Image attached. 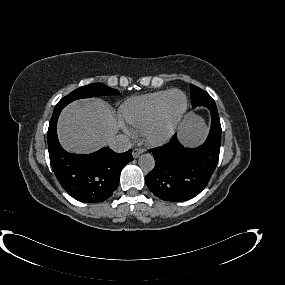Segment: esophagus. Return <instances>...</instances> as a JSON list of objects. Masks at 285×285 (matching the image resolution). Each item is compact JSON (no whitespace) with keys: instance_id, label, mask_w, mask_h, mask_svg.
Returning <instances> with one entry per match:
<instances>
[{"instance_id":"34e87169","label":"esophagus","mask_w":285,"mask_h":285,"mask_svg":"<svg viewBox=\"0 0 285 285\" xmlns=\"http://www.w3.org/2000/svg\"><path fill=\"white\" fill-rule=\"evenodd\" d=\"M143 152H144V149H143V148H134V149H133V152H132V155H133V157L136 159V158H138Z\"/></svg>"}]
</instances>
